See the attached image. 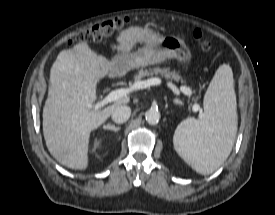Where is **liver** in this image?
Returning a JSON list of instances; mask_svg holds the SVG:
<instances>
[{"label": "liver", "instance_id": "obj_1", "mask_svg": "<svg viewBox=\"0 0 275 215\" xmlns=\"http://www.w3.org/2000/svg\"><path fill=\"white\" fill-rule=\"evenodd\" d=\"M159 39L151 30L129 28L117 37L112 49L118 55L130 54L137 43L151 47ZM116 62L98 55L87 43L63 50L53 63L48 98L43 108V134L50 154L62 165L85 170L88 167V146L92 131L100 127L128 96L114 104L95 110L89 106L96 99L97 83L116 73Z\"/></svg>", "mask_w": 275, "mask_h": 215}]
</instances>
